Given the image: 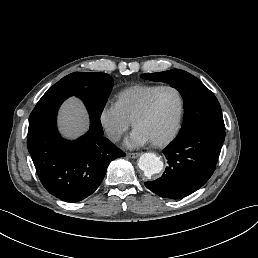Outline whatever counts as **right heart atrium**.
<instances>
[{"instance_id":"1","label":"right heart atrium","mask_w":258,"mask_h":258,"mask_svg":"<svg viewBox=\"0 0 258 258\" xmlns=\"http://www.w3.org/2000/svg\"><path fill=\"white\" fill-rule=\"evenodd\" d=\"M99 122L105 133L113 139L119 138L130 127V122L115 104L103 107L99 115Z\"/></svg>"}]
</instances>
